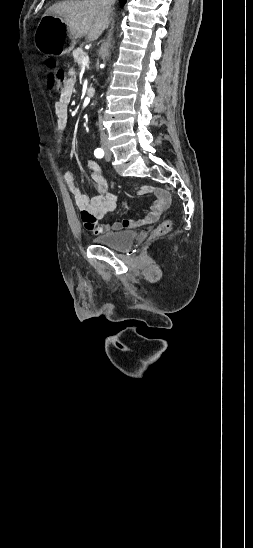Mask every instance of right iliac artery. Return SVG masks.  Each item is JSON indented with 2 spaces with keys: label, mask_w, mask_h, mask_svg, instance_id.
I'll use <instances>...</instances> for the list:
<instances>
[{
  "label": "right iliac artery",
  "mask_w": 253,
  "mask_h": 548,
  "mask_svg": "<svg viewBox=\"0 0 253 548\" xmlns=\"http://www.w3.org/2000/svg\"><path fill=\"white\" fill-rule=\"evenodd\" d=\"M94 155L97 157V158H102L104 156V150L102 148H97L95 151H94Z\"/></svg>",
  "instance_id": "obj_1"
}]
</instances>
